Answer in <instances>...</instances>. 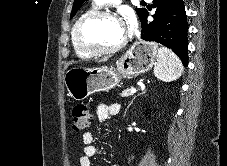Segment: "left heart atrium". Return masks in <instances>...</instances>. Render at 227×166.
<instances>
[{
    "label": "left heart atrium",
    "mask_w": 227,
    "mask_h": 166,
    "mask_svg": "<svg viewBox=\"0 0 227 166\" xmlns=\"http://www.w3.org/2000/svg\"><path fill=\"white\" fill-rule=\"evenodd\" d=\"M136 25V21H135V18L133 16H130L128 18V23H127V26L125 27L126 28V33L129 31V30H132Z\"/></svg>",
    "instance_id": "1"
}]
</instances>
